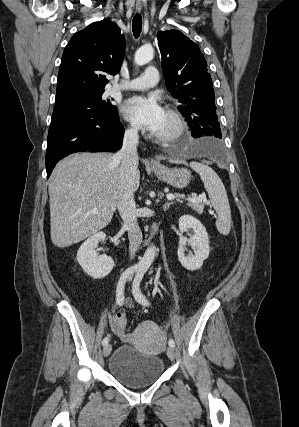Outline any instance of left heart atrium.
Listing matches in <instances>:
<instances>
[{"label": "left heart atrium", "mask_w": 299, "mask_h": 427, "mask_svg": "<svg viewBox=\"0 0 299 427\" xmlns=\"http://www.w3.org/2000/svg\"><path fill=\"white\" fill-rule=\"evenodd\" d=\"M126 119L136 127L156 133L164 119L165 112L154 96H134L122 106Z\"/></svg>", "instance_id": "39dd6f15"}]
</instances>
